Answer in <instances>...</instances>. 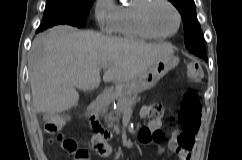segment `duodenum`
Returning a JSON list of instances; mask_svg holds the SVG:
<instances>
[{
    "mask_svg": "<svg viewBox=\"0 0 242 160\" xmlns=\"http://www.w3.org/2000/svg\"><path fill=\"white\" fill-rule=\"evenodd\" d=\"M114 94L111 88L105 89L89 105L87 118L94 133V139L103 141L110 136L109 131L100 120V110Z\"/></svg>",
    "mask_w": 242,
    "mask_h": 160,
    "instance_id": "obj_1",
    "label": "duodenum"
}]
</instances>
